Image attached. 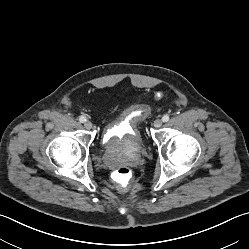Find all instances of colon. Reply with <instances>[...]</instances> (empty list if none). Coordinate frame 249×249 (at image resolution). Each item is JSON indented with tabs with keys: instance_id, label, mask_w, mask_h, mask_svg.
I'll return each mask as SVG.
<instances>
[{
	"instance_id": "5ec220e1",
	"label": "colon",
	"mask_w": 249,
	"mask_h": 249,
	"mask_svg": "<svg viewBox=\"0 0 249 249\" xmlns=\"http://www.w3.org/2000/svg\"><path fill=\"white\" fill-rule=\"evenodd\" d=\"M132 178L133 172L127 166L118 167L113 173V181L121 188L127 187Z\"/></svg>"
}]
</instances>
